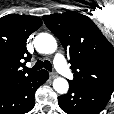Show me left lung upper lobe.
I'll use <instances>...</instances> for the list:
<instances>
[{"label":"left lung upper lobe","mask_w":114,"mask_h":114,"mask_svg":"<svg viewBox=\"0 0 114 114\" xmlns=\"http://www.w3.org/2000/svg\"><path fill=\"white\" fill-rule=\"evenodd\" d=\"M43 20L69 52L72 82L112 93L114 48L93 21L77 12L46 15Z\"/></svg>","instance_id":"5c2ea615"}]
</instances>
